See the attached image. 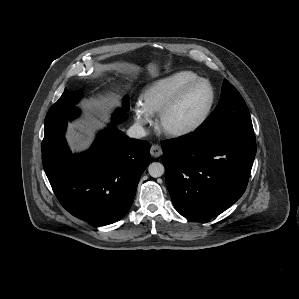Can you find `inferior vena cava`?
<instances>
[{
	"mask_svg": "<svg viewBox=\"0 0 299 299\" xmlns=\"http://www.w3.org/2000/svg\"><path fill=\"white\" fill-rule=\"evenodd\" d=\"M127 135L131 138L140 139V138L146 136L147 133L142 126L134 124L133 126H131L128 129Z\"/></svg>",
	"mask_w": 299,
	"mask_h": 299,
	"instance_id": "1",
	"label": "inferior vena cava"
}]
</instances>
